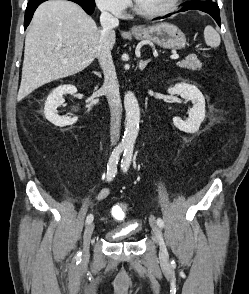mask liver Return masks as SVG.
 <instances>
[{
	"instance_id": "1",
	"label": "liver",
	"mask_w": 249,
	"mask_h": 294,
	"mask_svg": "<svg viewBox=\"0 0 249 294\" xmlns=\"http://www.w3.org/2000/svg\"><path fill=\"white\" fill-rule=\"evenodd\" d=\"M101 31L77 4L49 0L34 13L24 50L18 100L51 81L81 72L95 58ZM116 41L115 32L110 37Z\"/></svg>"
}]
</instances>
